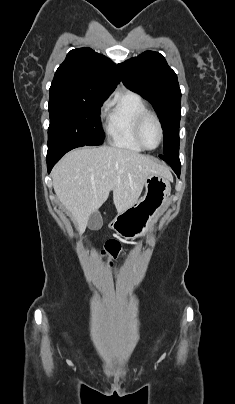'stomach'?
<instances>
[{
	"instance_id": "obj_1",
	"label": "stomach",
	"mask_w": 235,
	"mask_h": 404,
	"mask_svg": "<svg viewBox=\"0 0 235 404\" xmlns=\"http://www.w3.org/2000/svg\"><path fill=\"white\" fill-rule=\"evenodd\" d=\"M145 194L131 207L118 213L109 228L126 239L145 236L168 203L170 182L160 175L149 176L144 183Z\"/></svg>"
}]
</instances>
